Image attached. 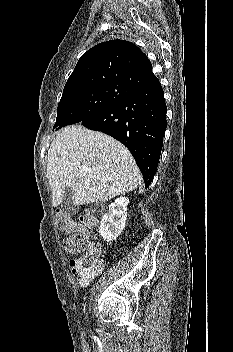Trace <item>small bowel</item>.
Returning <instances> with one entry per match:
<instances>
[{"label":"small bowel","instance_id":"small-bowel-1","mask_svg":"<svg viewBox=\"0 0 233 352\" xmlns=\"http://www.w3.org/2000/svg\"><path fill=\"white\" fill-rule=\"evenodd\" d=\"M72 263H73V261H70V266H72ZM91 279H92V278H91ZM91 279H89V280H87V281H80V280H79V284H80L81 286H86V285L89 284V282H90Z\"/></svg>","mask_w":233,"mask_h":352}]
</instances>
